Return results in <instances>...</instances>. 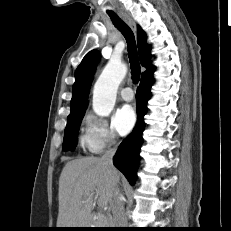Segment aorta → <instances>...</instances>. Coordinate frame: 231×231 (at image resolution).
<instances>
[{"mask_svg":"<svg viewBox=\"0 0 231 231\" xmlns=\"http://www.w3.org/2000/svg\"><path fill=\"white\" fill-rule=\"evenodd\" d=\"M127 66L120 61L110 60L105 66L93 89V110L99 116H108L114 108L117 89L125 78Z\"/></svg>","mask_w":231,"mask_h":231,"instance_id":"obj_1","label":"aorta"}]
</instances>
